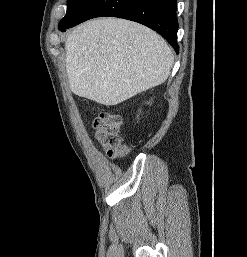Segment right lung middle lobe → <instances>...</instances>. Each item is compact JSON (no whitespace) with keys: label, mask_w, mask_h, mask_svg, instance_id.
Here are the masks:
<instances>
[{"label":"right lung middle lobe","mask_w":247,"mask_h":257,"mask_svg":"<svg viewBox=\"0 0 247 257\" xmlns=\"http://www.w3.org/2000/svg\"><path fill=\"white\" fill-rule=\"evenodd\" d=\"M93 0H68L67 12L59 27L76 20Z\"/></svg>","instance_id":"dd1d6c3e"}]
</instances>
